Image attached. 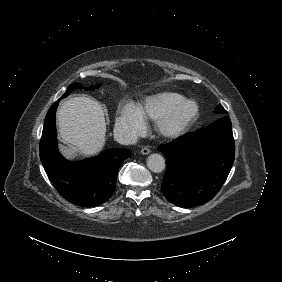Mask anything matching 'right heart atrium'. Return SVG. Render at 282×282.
Wrapping results in <instances>:
<instances>
[{"label":"right heart atrium","instance_id":"right-heart-atrium-1","mask_svg":"<svg viewBox=\"0 0 282 282\" xmlns=\"http://www.w3.org/2000/svg\"><path fill=\"white\" fill-rule=\"evenodd\" d=\"M115 127L120 135L134 139L145 130V117L137 106L128 104L117 119Z\"/></svg>","mask_w":282,"mask_h":282}]
</instances>
